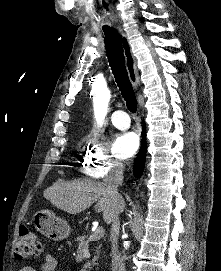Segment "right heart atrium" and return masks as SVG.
Returning a JSON list of instances; mask_svg holds the SVG:
<instances>
[{
    "label": "right heart atrium",
    "mask_w": 221,
    "mask_h": 271,
    "mask_svg": "<svg viewBox=\"0 0 221 271\" xmlns=\"http://www.w3.org/2000/svg\"><path fill=\"white\" fill-rule=\"evenodd\" d=\"M77 155L83 162L81 170L84 177H103L107 167H111L109 160L113 159V154L109 151H98V146H89V151H78Z\"/></svg>",
    "instance_id": "1"
}]
</instances>
